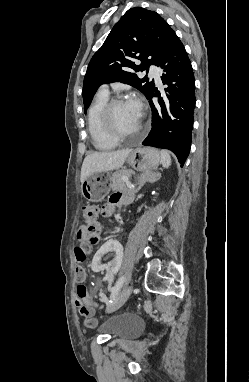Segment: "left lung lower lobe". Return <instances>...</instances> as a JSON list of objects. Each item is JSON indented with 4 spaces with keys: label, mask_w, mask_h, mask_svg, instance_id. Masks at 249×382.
<instances>
[{
    "label": "left lung lower lobe",
    "mask_w": 249,
    "mask_h": 382,
    "mask_svg": "<svg viewBox=\"0 0 249 382\" xmlns=\"http://www.w3.org/2000/svg\"><path fill=\"white\" fill-rule=\"evenodd\" d=\"M159 66L165 72L162 82L168 87L162 95L154 87L146 97L152 108V129L142 144L169 149L184 164L191 145L196 99L193 69L179 38ZM153 97L159 98L158 103H153Z\"/></svg>",
    "instance_id": "0a47b994"
}]
</instances>
